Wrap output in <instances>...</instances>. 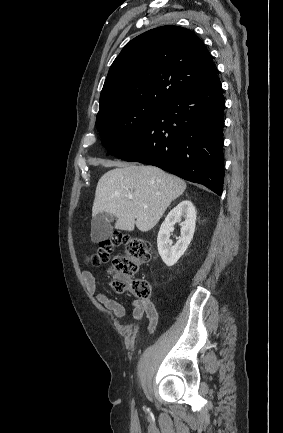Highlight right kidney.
Returning a JSON list of instances; mask_svg holds the SVG:
<instances>
[{"mask_svg": "<svg viewBox=\"0 0 283 433\" xmlns=\"http://www.w3.org/2000/svg\"><path fill=\"white\" fill-rule=\"evenodd\" d=\"M184 221L181 222V219ZM176 223H180L181 236L175 245L170 240V232ZM196 223V210L193 203L189 200L180 202L166 216L162 223L157 237L158 252L167 266H173L185 253L189 246Z\"/></svg>", "mask_w": 283, "mask_h": 433, "instance_id": "1", "label": "right kidney"}]
</instances>
